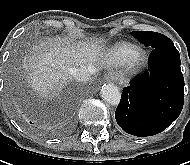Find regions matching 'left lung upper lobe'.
I'll use <instances>...</instances> for the list:
<instances>
[{
    "label": "left lung upper lobe",
    "mask_w": 190,
    "mask_h": 165,
    "mask_svg": "<svg viewBox=\"0 0 190 165\" xmlns=\"http://www.w3.org/2000/svg\"><path fill=\"white\" fill-rule=\"evenodd\" d=\"M132 35L140 42H142L145 46H150L152 48H155L162 43L170 41L167 36L150 31H134L132 32Z\"/></svg>",
    "instance_id": "1"
}]
</instances>
